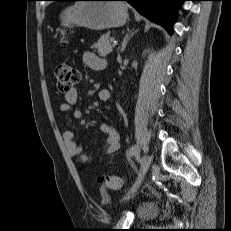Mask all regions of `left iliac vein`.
<instances>
[{
  "label": "left iliac vein",
  "mask_w": 231,
  "mask_h": 231,
  "mask_svg": "<svg viewBox=\"0 0 231 231\" xmlns=\"http://www.w3.org/2000/svg\"><path fill=\"white\" fill-rule=\"evenodd\" d=\"M152 163V158L151 156L149 155H145L143 158H142V161H141V165H140V171H139V174L136 178V181L135 183L133 184L129 194L127 195L126 199H130L131 197L134 196V194L137 192L138 188L140 187V185L142 184V181L150 167Z\"/></svg>",
  "instance_id": "4c4485c4"
}]
</instances>
